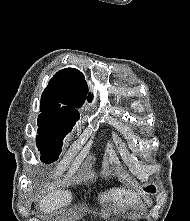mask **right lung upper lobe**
Here are the masks:
<instances>
[{"mask_svg":"<svg viewBox=\"0 0 190 221\" xmlns=\"http://www.w3.org/2000/svg\"><path fill=\"white\" fill-rule=\"evenodd\" d=\"M88 87L83 74L73 68L56 73L42 93L38 118L55 119L75 124L79 119L76 108L87 98ZM92 96L88 93V101Z\"/></svg>","mask_w":190,"mask_h":221,"instance_id":"right-lung-upper-lobe-1","label":"right lung upper lobe"}]
</instances>
